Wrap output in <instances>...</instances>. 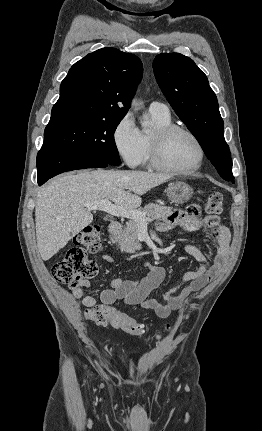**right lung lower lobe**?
Listing matches in <instances>:
<instances>
[{
    "label": "right lung lower lobe",
    "instance_id": "1",
    "mask_svg": "<svg viewBox=\"0 0 262 431\" xmlns=\"http://www.w3.org/2000/svg\"><path fill=\"white\" fill-rule=\"evenodd\" d=\"M109 164L103 160L80 153L62 150H43L37 155L38 183L71 170L85 168H105Z\"/></svg>",
    "mask_w": 262,
    "mask_h": 431
}]
</instances>
